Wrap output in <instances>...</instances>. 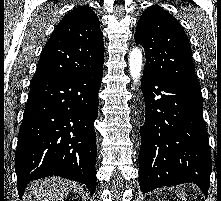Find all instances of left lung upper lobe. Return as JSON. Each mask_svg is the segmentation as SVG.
Returning a JSON list of instances; mask_svg holds the SVG:
<instances>
[{"label":"left lung upper lobe","mask_w":221,"mask_h":201,"mask_svg":"<svg viewBox=\"0 0 221 201\" xmlns=\"http://www.w3.org/2000/svg\"><path fill=\"white\" fill-rule=\"evenodd\" d=\"M135 42L145 50L144 72L200 88L187 35L178 21L163 8L152 6L143 12L138 21Z\"/></svg>","instance_id":"5c2ea615"}]
</instances>
